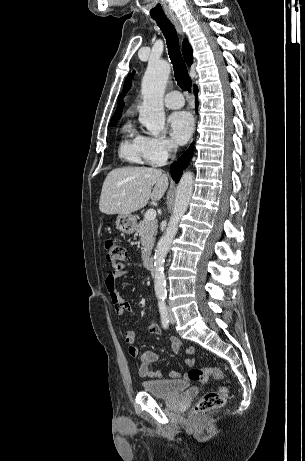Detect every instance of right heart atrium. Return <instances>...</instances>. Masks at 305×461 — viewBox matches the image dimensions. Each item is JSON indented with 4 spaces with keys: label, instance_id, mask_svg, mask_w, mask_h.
Listing matches in <instances>:
<instances>
[{
    "label": "right heart atrium",
    "instance_id": "right-heart-atrium-1",
    "mask_svg": "<svg viewBox=\"0 0 305 461\" xmlns=\"http://www.w3.org/2000/svg\"><path fill=\"white\" fill-rule=\"evenodd\" d=\"M144 144L149 163L154 165L162 164L174 147L173 143L164 137H145Z\"/></svg>",
    "mask_w": 305,
    "mask_h": 461
}]
</instances>
